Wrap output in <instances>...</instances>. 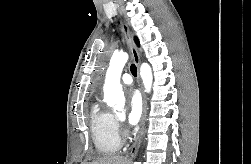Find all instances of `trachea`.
Instances as JSON below:
<instances>
[{"label":"trachea","mask_w":251,"mask_h":164,"mask_svg":"<svg viewBox=\"0 0 251 164\" xmlns=\"http://www.w3.org/2000/svg\"><path fill=\"white\" fill-rule=\"evenodd\" d=\"M130 70H131L132 75L136 77L137 76V68L134 64H132L130 66Z\"/></svg>","instance_id":"1"}]
</instances>
